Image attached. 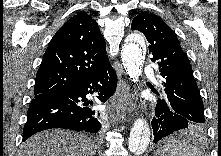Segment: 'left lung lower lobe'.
<instances>
[{"mask_svg":"<svg viewBox=\"0 0 221 156\" xmlns=\"http://www.w3.org/2000/svg\"><path fill=\"white\" fill-rule=\"evenodd\" d=\"M196 125L186 117L175 113L166 102V100L159 99L157 101L155 117L152 119V128L154 139L156 143L160 139L170 135L171 133L180 129L188 128Z\"/></svg>","mask_w":221,"mask_h":156,"instance_id":"1","label":"left lung lower lobe"}]
</instances>
